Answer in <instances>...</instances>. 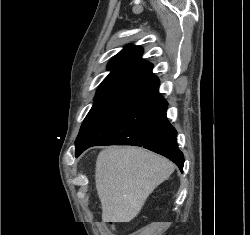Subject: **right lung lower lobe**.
<instances>
[{"label":"right lung lower lobe","mask_w":250,"mask_h":235,"mask_svg":"<svg viewBox=\"0 0 250 235\" xmlns=\"http://www.w3.org/2000/svg\"><path fill=\"white\" fill-rule=\"evenodd\" d=\"M159 80L127 99L76 144V157L91 146L135 145L173 161L182 171L183 153L177 132L166 118L167 101L158 91Z\"/></svg>","instance_id":"obj_1"}]
</instances>
